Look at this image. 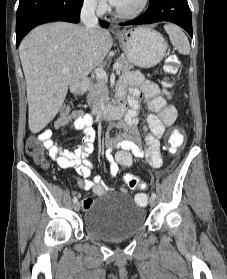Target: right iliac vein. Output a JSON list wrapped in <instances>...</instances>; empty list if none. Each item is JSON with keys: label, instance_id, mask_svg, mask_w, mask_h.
Here are the masks:
<instances>
[{"label": "right iliac vein", "instance_id": "right-iliac-vein-1", "mask_svg": "<svg viewBox=\"0 0 227 279\" xmlns=\"http://www.w3.org/2000/svg\"><path fill=\"white\" fill-rule=\"evenodd\" d=\"M80 207H81V205H80L79 202L74 203V209H75L76 211H79V210H80Z\"/></svg>", "mask_w": 227, "mask_h": 279}]
</instances>
